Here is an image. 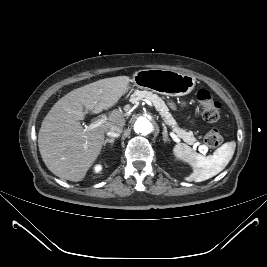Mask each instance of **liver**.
<instances>
[{"label":"liver","mask_w":267,"mask_h":267,"mask_svg":"<svg viewBox=\"0 0 267 267\" xmlns=\"http://www.w3.org/2000/svg\"><path fill=\"white\" fill-rule=\"evenodd\" d=\"M130 81L128 76L101 79L72 90L53 105L38 134L41 157L53 174L74 182L83 180L100 154L104 134L126 121L123 113L113 112L101 126L84 132L83 108L98 114L113 107Z\"/></svg>","instance_id":"1"}]
</instances>
